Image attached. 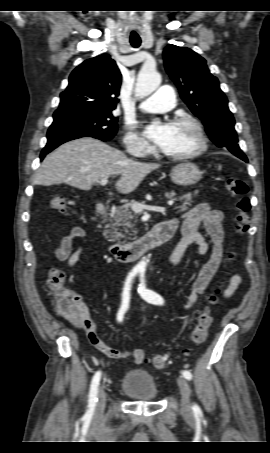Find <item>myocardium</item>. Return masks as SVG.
Returning <instances> with one entry per match:
<instances>
[{"instance_id":"myocardium-1","label":"myocardium","mask_w":270,"mask_h":453,"mask_svg":"<svg viewBox=\"0 0 270 453\" xmlns=\"http://www.w3.org/2000/svg\"><path fill=\"white\" fill-rule=\"evenodd\" d=\"M173 124H186L193 128L198 138V147L184 154H167L161 150V156L171 161H188L201 156L208 147V139L202 124L192 116H179L173 120Z\"/></svg>"}]
</instances>
